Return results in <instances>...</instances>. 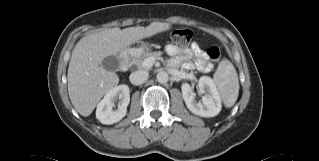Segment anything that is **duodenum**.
<instances>
[{"label":"duodenum","mask_w":319,"mask_h":161,"mask_svg":"<svg viewBox=\"0 0 319 161\" xmlns=\"http://www.w3.org/2000/svg\"><path fill=\"white\" fill-rule=\"evenodd\" d=\"M129 64V53L128 52H125L121 55V58H120V67L121 68H125L127 67Z\"/></svg>","instance_id":"1"}]
</instances>
